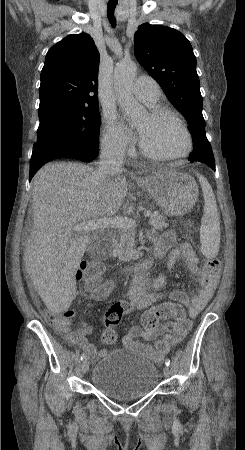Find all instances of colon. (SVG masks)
Masks as SVG:
<instances>
[{
    "label": "colon",
    "instance_id": "colon-1",
    "mask_svg": "<svg viewBox=\"0 0 245 450\" xmlns=\"http://www.w3.org/2000/svg\"><path fill=\"white\" fill-rule=\"evenodd\" d=\"M206 271L210 274H216L220 269L218 259H208L205 264ZM104 266L94 260L84 262L76 273V279L83 281L90 288H97L101 285V274ZM131 304L129 302L113 303L104 315L105 330L103 332V340L107 344H113L117 340V335L113 328L121 322L124 314L129 310ZM46 321L60 331H68L71 326L72 311H45L43 313ZM172 320L182 323L186 320V311L180 304L174 302H161L153 308L144 312L141 318L142 326L145 331L154 329L159 323Z\"/></svg>",
    "mask_w": 245,
    "mask_h": 450
}]
</instances>
